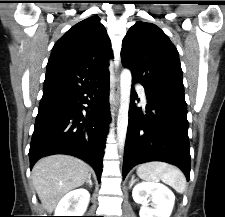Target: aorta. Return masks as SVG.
<instances>
[{"instance_id":"aorta-1","label":"aorta","mask_w":225,"mask_h":217,"mask_svg":"<svg viewBox=\"0 0 225 217\" xmlns=\"http://www.w3.org/2000/svg\"><path fill=\"white\" fill-rule=\"evenodd\" d=\"M131 72L124 69L120 76V108L117 119V141L120 148L124 146L127 127H128V112H129V99L131 91Z\"/></svg>"}]
</instances>
